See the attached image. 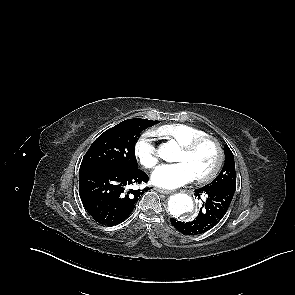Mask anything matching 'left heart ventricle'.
Instances as JSON below:
<instances>
[{"label":"left heart ventricle","mask_w":295,"mask_h":295,"mask_svg":"<svg viewBox=\"0 0 295 295\" xmlns=\"http://www.w3.org/2000/svg\"><path fill=\"white\" fill-rule=\"evenodd\" d=\"M217 160V151L213 143L202 144L193 153H186L181 150L177 156V162L187 163L196 177L209 173Z\"/></svg>","instance_id":"left-heart-ventricle-1"}]
</instances>
